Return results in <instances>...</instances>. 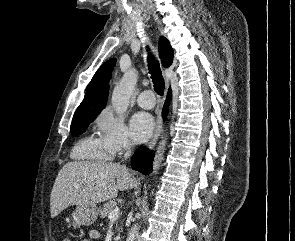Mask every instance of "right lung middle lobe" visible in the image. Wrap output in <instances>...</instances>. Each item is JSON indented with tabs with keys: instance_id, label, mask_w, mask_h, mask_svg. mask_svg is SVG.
<instances>
[{
	"instance_id": "obj_1",
	"label": "right lung middle lobe",
	"mask_w": 295,
	"mask_h": 241,
	"mask_svg": "<svg viewBox=\"0 0 295 241\" xmlns=\"http://www.w3.org/2000/svg\"><path fill=\"white\" fill-rule=\"evenodd\" d=\"M102 108L94 111H81L74 114L71 124V134L78 136L82 134L91 122L95 120Z\"/></svg>"
}]
</instances>
